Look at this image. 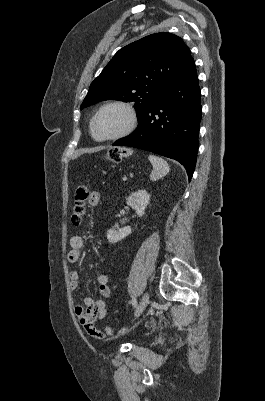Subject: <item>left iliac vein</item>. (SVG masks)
<instances>
[{"instance_id": "1", "label": "left iliac vein", "mask_w": 265, "mask_h": 401, "mask_svg": "<svg viewBox=\"0 0 265 401\" xmlns=\"http://www.w3.org/2000/svg\"><path fill=\"white\" fill-rule=\"evenodd\" d=\"M149 299H150L149 293L148 292L144 293L142 300L136 310V315H135L136 318L141 316L142 312L145 310L146 306L149 303Z\"/></svg>"}]
</instances>
